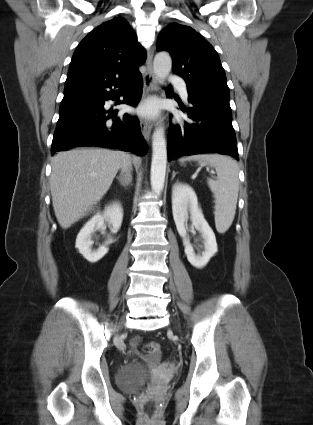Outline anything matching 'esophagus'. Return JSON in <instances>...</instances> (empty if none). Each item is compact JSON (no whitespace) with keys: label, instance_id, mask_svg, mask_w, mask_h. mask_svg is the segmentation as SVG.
<instances>
[{"label":"esophagus","instance_id":"esophagus-1","mask_svg":"<svg viewBox=\"0 0 313 425\" xmlns=\"http://www.w3.org/2000/svg\"><path fill=\"white\" fill-rule=\"evenodd\" d=\"M152 57L153 54L152 51H150L146 60V72L143 75L144 96L157 91V83L153 71ZM140 127L144 138L149 141L152 131L151 122L146 119H140Z\"/></svg>","mask_w":313,"mask_h":425}]
</instances>
